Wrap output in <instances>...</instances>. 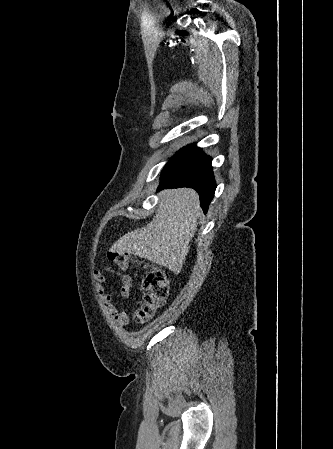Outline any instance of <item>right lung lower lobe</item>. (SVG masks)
Wrapping results in <instances>:
<instances>
[{
	"label": "right lung lower lobe",
	"instance_id": "right-lung-lower-lobe-1",
	"mask_svg": "<svg viewBox=\"0 0 333 449\" xmlns=\"http://www.w3.org/2000/svg\"><path fill=\"white\" fill-rule=\"evenodd\" d=\"M160 180L158 190L194 188L199 193L204 211H207L216 189L211 158L195 145L186 146L178 151L165 166Z\"/></svg>",
	"mask_w": 333,
	"mask_h": 449
}]
</instances>
